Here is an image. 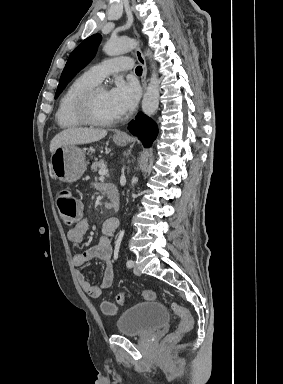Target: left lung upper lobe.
<instances>
[{"instance_id":"5c2ea615","label":"left lung upper lobe","mask_w":283,"mask_h":384,"mask_svg":"<svg viewBox=\"0 0 283 384\" xmlns=\"http://www.w3.org/2000/svg\"><path fill=\"white\" fill-rule=\"evenodd\" d=\"M101 39L102 37L100 34H94L82 41L70 54L61 74L55 98L59 96L68 82H70L75 75L93 59Z\"/></svg>"}]
</instances>
